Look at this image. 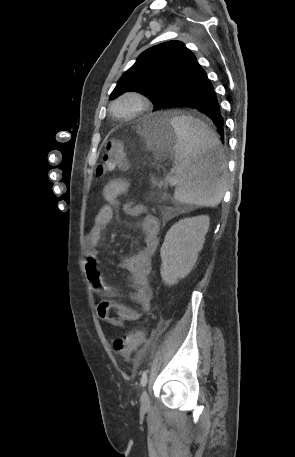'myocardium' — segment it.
Here are the masks:
<instances>
[{"label": "myocardium", "instance_id": "1", "mask_svg": "<svg viewBox=\"0 0 295 457\" xmlns=\"http://www.w3.org/2000/svg\"><path fill=\"white\" fill-rule=\"evenodd\" d=\"M130 104L127 110H121V106ZM150 106L149 98L137 91H129L118 96L111 104V111L113 115L120 119H132L143 112Z\"/></svg>", "mask_w": 295, "mask_h": 457}]
</instances>
